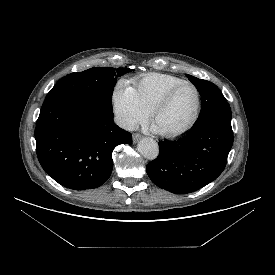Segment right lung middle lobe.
I'll return each instance as SVG.
<instances>
[{
	"label": "right lung middle lobe",
	"mask_w": 275,
	"mask_h": 275,
	"mask_svg": "<svg viewBox=\"0 0 275 275\" xmlns=\"http://www.w3.org/2000/svg\"><path fill=\"white\" fill-rule=\"evenodd\" d=\"M130 71L129 68L95 67L80 73L68 74L55 84L46 100L81 96L112 108V92L117 77Z\"/></svg>",
	"instance_id": "right-lung-middle-lobe-1"
}]
</instances>
